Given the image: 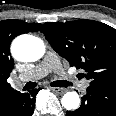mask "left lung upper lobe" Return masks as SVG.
<instances>
[{
    "instance_id": "5c2ea615",
    "label": "left lung upper lobe",
    "mask_w": 116,
    "mask_h": 116,
    "mask_svg": "<svg viewBox=\"0 0 116 116\" xmlns=\"http://www.w3.org/2000/svg\"><path fill=\"white\" fill-rule=\"evenodd\" d=\"M41 32L71 66L84 69L90 87L116 88V29L97 21L46 22Z\"/></svg>"
}]
</instances>
